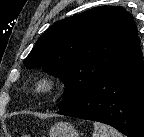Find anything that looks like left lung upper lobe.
I'll list each match as a JSON object with an SVG mask.
<instances>
[{
  "mask_svg": "<svg viewBox=\"0 0 144 137\" xmlns=\"http://www.w3.org/2000/svg\"><path fill=\"white\" fill-rule=\"evenodd\" d=\"M138 42L137 26L124 8L100 6L50 26L24 65L61 78L66 85L62 109L84 97Z\"/></svg>",
  "mask_w": 144,
  "mask_h": 137,
  "instance_id": "1",
  "label": "left lung upper lobe"
}]
</instances>
